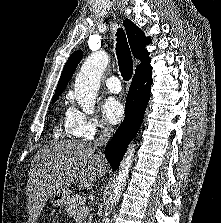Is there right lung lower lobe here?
<instances>
[{
    "instance_id": "right-lung-lower-lobe-1",
    "label": "right lung lower lobe",
    "mask_w": 221,
    "mask_h": 223,
    "mask_svg": "<svg viewBox=\"0 0 221 223\" xmlns=\"http://www.w3.org/2000/svg\"><path fill=\"white\" fill-rule=\"evenodd\" d=\"M152 71L135 73L126 98L125 118L112 140L107 144L105 156L114 170L119 167L127 146L138 132L150 98Z\"/></svg>"
}]
</instances>
